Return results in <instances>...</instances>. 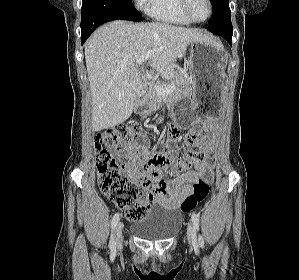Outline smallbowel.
Listing matches in <instances>:
<instances>
[{
    "mask_svg": "<svg viewBox=\"0 0 299 280\" xmlns=\"http://www.w3.org/2000/svg\"><path fill=\"white\" fill-rule=\"evenodd\" d=\"M199 142L200 157L195 160L192 169L172 179H166L163 166L149 156L147 140L144 144L125 142L114 150L122 158L130 159L128 172L148 193L149 208L158 204L168 209H177L183 200L192 192L193 185L200 179L210 183L213 180L212 151L217 142L218 124L214 120L204 121L194 127ZM170 129H178L174 124ZM179 130V129H178ZM204 134H207L204 137ZM170 147V146H169Z\"/></svg>",
    "mask_w": 299,
    "mask_h": 280,
    "instance_id": "1",
    "label": "small bowel"
}]
</instances>
